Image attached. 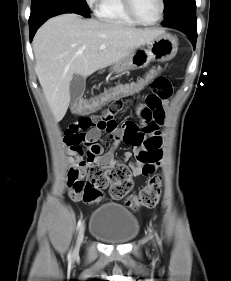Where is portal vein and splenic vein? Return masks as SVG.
Listing matches in <instances>:
<instances>
[{"instance_id":"18ae733b","label":"portal vein and splenic vein","mask_w":231,"mask_h":281,"mask_svg":"<svg viewBox=\"0 0 231 281\" xmlns=\"http://www.w3.org/2000/svg\"><path fill=\"white\" fill-rule=\"evenodd\" d=\"M106 48V45H100V50H104Z\"/></svg>"}]
</instances>
